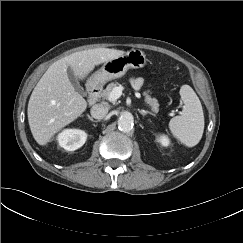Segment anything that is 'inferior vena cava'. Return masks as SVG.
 <instances>
[{"label": "inferior vena cava", "instance_id": "602c4592", "mask_svg": "<svg viewBox=\"0 0 243 243\" xmlns=\"http://www.w3.org/2000/svg\"><path fill=\"white\" fill-rule=\"evenodd\" d=\"M90 113L95 119L101 120L107 115L108 109L102 104H96L92 106Z\"/></svg>", "mask_w": 243, "mask_h": 243}]
</instances>
